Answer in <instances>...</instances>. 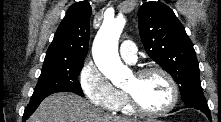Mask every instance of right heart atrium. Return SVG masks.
<instances>
[{"instance_id": "obj_1", "label": "right heart atrium", "mask_w": 221, "mask_h": 122, "mask_svg": "<svg viewBox=\"0 0 221 122\" xmlns=\"http://www.w3.org/2000/svg\"><path fill=\"white\" fill-rule=\"evenodd\" d=\"M79 83L86 98L94 105L112 110L118 90L102 74L92 60H87L79 72Z\"/></svg>"}]
</instances>
